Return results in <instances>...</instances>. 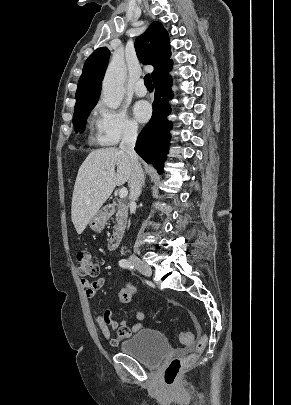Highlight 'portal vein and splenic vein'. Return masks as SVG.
<instances>
[{"mask_svg":"<svg viewBox=\"0 0 291 405\" xmlns=\"http://www.w3.org/2000/svg\"><path fill=\"white\" fill-rule=\"evenodd\" d=\"M127 195H128L127 189L124 188V187L121 188L120 191H119V197H120V198H125Z\"/></svg>","mask_w":291,"mask_h":405,"instance_id":"obj_1","label":"portal vein and splenic vein"}]
</instances>
